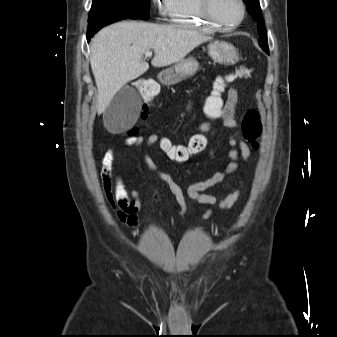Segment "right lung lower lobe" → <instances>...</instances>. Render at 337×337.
<instances>
[{
    "mask_svg": "<svg viewBox=\"0 0 337 337\" xmlns=\"http://www.w3.org/2000/svg\"><path fill=\"white\" fill-rule=\"evenodd\" d=\"M121 19H126V18H111V19H104L97 21L93 24L88 25V30H87V41L89 42L91 37L94 36L96 32H98L101 28H103L106 25H109L113 22L119 21Z\"/></svg>",
    "mask_w": 337,
    "mask_h": 337,
    "instance_id": "right-lung-lower-lobe-1",
    "label": "right lung lower lobe"
}]
</instances>
